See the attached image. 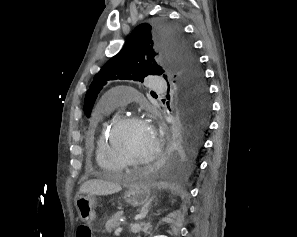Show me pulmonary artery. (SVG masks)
<instances>
[{"label": "pulmonary artery", "instance_id": "e3ab8cb5", "mask_svg": "<svg viewBox=\"0 0 297 237\" xmlns=\"http://www.w3.org/2000/svg\"><path fill=\"white\" fill-rule=\"evenodd\" d=\"M148 83L150 87L156 91H163L167 88L166 83L159 77L150 79ZM129 92L130 90L126 89L117 95L108 96L105 100V107H111L113 109L127 105L131 99V96L128 95Z\"/></svg>", "mask_w": 297, "mask_h": 237}]
</instances>
